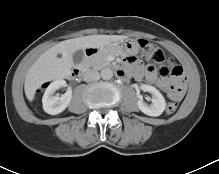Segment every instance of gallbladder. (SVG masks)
I'll return each instance as SVG.
<instances>
[{
  "label": "gallbladder",
  "instance_id": "gallbladder-1",
  "mask_svg": "<svg viewBox=\"0 0 219 174\" xmlns=\"http://www.w3.org/2000/svg\"><path fill=\"white\" fill-rule=\"evenodd\" d=\"M83 58H84V53L82 50H78L73 54V61L75 64L81 63Z\"/></svg>",
  "mask_w": 219,
  "mask_h": 174
}]
</instances>
